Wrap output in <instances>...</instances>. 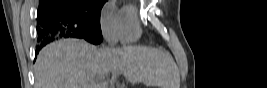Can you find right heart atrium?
<instances>
[{
  "label": "right heart atrium",
  "instance_id": "d8ad5b80",
  "mask_svg": "<svg viewBox=\"0 0 267 88\" xmlns=\"http://www.w3.org/2000/svg\"><path fill=\"white\" fill-rule=\"evenodd\" d=\"M100 27L103 36L110 44L121 39V15L113 2H108L100 13Z\"/></svg>",
  "mask_w": 267,
  "mask_h": 88
}]
</instances>
